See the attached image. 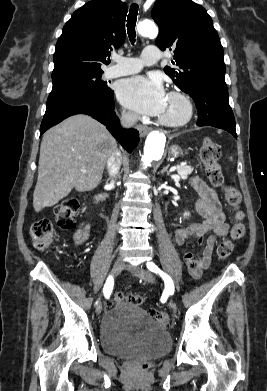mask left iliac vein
<instances>
[{"label": "left iliac vein", "instance_id": "obj_1", "mask_svg": "<svg viewBox=\"0 0 267 391\" xmlns=\"http://www.w3.org/2000/svg\"><path fill=\"white\" fill-rule=\"evenodd\" d=\"M128 270L131 271L133 274L141 276L142 279L148 283H155L154 276L146 269L142 268L141 266L137 267H131L130 265L127 266ZM169 306L172 309L174 313L177 312V304L173 299L169 300Z\"/></svg>", "mask_w": 267, "mask_h": 391}]
</instances>
